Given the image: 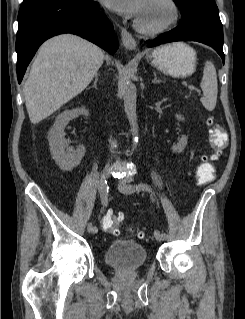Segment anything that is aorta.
Returning <instances> with one entry per match:
<instances>
[{
  "label": "aorta",
  "instance_id": "obj_1",
  "mask_svg": "<svg viewBox=\"0 0 245 319\" xmlns=\"http://www.w3.org/2000/svg\"><path fill=\"white\" fill-rule=\"evenodd\" d=\"M136 94H137L136 86L132 82L131 77L128 75L125 77L124 83H123V99H124V109L131 127V134L133 136L134 145H136L138 142Z\"/></svg>",
  "mask_w": 245,
  "mask_h": 319
}]
</instances>
